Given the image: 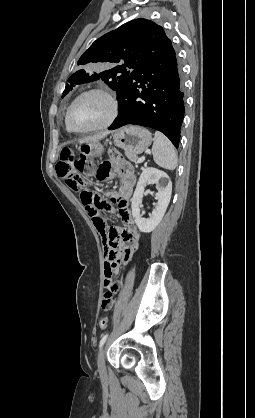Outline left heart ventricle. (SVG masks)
<instances>
[{
	"label": "left heart ventricle",
	"mask_w": 255,
	"mask_h": 418,
	"mask_svg": "<svg viewBox=\"0 0 255 418\" xmlns=\"http://www.w3.org/2000/svg\"><path fill=\"white\" fill-rule=\"evenodd\" d=\"M110 112L108 100L100 94H89L73 107L70 122L74 128L86 129L103 123Z\"/></svg>",
	"instance_id": "b2bd125f"
}]
</instances>
